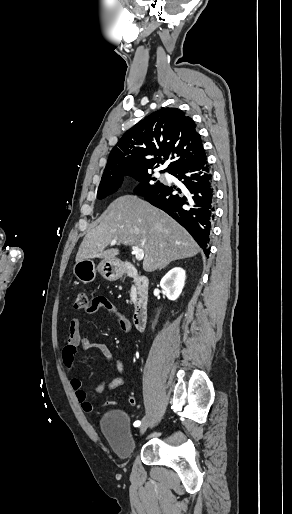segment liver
Listing matches in <instances>:
<instances>
[{"mask_svg": "<svg viewBox=\"0 0 292 514\" xmlns=\"http://www.w3.org/2000/svg\"><path fill=\"white\" fill-rule=\"evenodd\" d=\"M94 230L86 234L76 262L87 258H115L119 250H105L112 240L143 248V270L154 272L173 260L192 258L200 252L192 236L165 212L137 196H121L108 206Z\"/></svg>", "mask_w": 292, "mask_h": 514, "instance_id": "obj_1", "label": "liver"}]
</instances>
